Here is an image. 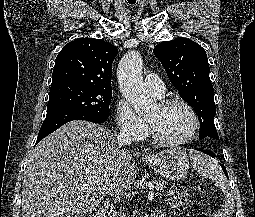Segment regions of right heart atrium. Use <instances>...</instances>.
Instances as JSON below:
<instances>
[{
	"mask_svg": "<svg viewBox=\"0 0 255 217\" xmlns=\"http://www.w3.org/2000/svg\"><path fill=\"white\" fill-rule=\"evenodd\" d=\"M115 117L118 131L131 140L140 139L147 134V124L138 116L130 104L120 99L115 106Z\"/></svg>",
	"mask_w": 255,
	"mask_h": 217,
	"instance_id": "d8ad5b80",
	"label": "right heart atrium"
}]
</instances>
